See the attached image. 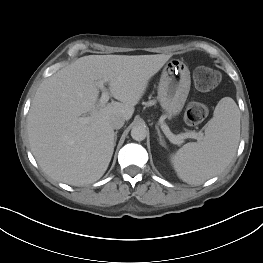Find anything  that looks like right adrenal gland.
Listing matches in <instances>:
<instances>
[{
    "instance_id": "right-adrenal-gland-1",
    "label": "right adrenal gland",
    "mask_w": 263,
    "mask_h": 263,
    "mask_svg": "<svg viewBox=\"0 0 263 263\" xmlns=\"http://www.w3.org/2000/svg\"><path fill=\"white\" fill-rule=\"evenodd\" d=\"M116 140H117V131L115 132V142H116Z\"/></svg>"
}]
</instances>
